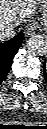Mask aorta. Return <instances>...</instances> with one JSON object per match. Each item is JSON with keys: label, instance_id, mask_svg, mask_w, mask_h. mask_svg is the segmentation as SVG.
<instances>
[{"label": "aorta", "instance_id": "1", "mask_svg": "<svg viewBox=\"0 0 47 129\" xmlns=\"http://www.w3.org/2000/svg\"><path fill=\"white\" fill-rule=\"evenodd\" d=\"M27 49L31 54L43 56L47 53V40L42 35H33L27 41Z\"/></svg>", "mask_w": 47, "mask_h": 129}]
</instances>
